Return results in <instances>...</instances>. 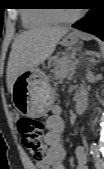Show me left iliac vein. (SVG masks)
<instances>
[{
    "mask_svg": "<svg viewBox=\"0 0 104 169\" xmlns=\"http://www.w3.org/2000/svg\"><path fill=\"white\" fill-rule=\"evenodd\" d=\"M96 169H104V164L101 158H97L95 161Z\"/></svg>",
    "mask_w": 104,
    "mask_h": 169,
    "instance_id": "left-iliac-vein-1",
    "label": "left iliac vein"
}]
</instances>
